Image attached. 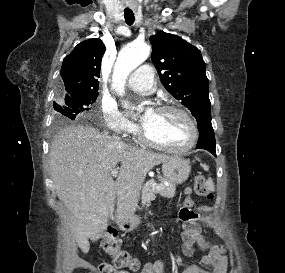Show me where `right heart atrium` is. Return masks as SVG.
<instances>
[{
  "mask_svg": "<svg viewBox=\"0 0 285 273\" xmlns=\"http://www.w3.org/2000/svg\"><path fill=\"white\" fill-rule=\"evenodd\" d=\"M100 115L103 126L115 134L128 136L136 132L135 125L122 115L111 102L103 101L101 103Z\"/></svg>",
  "mask_w": 285,
  "mask_h": 273,
  "instance_id": "obj_1",
  "label": "right heart atrium"
}]
</instances>
